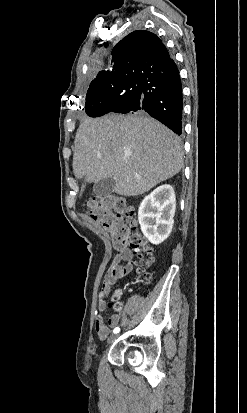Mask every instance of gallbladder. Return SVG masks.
I'll return each mask as SVG.
<instances>
[{
    "label": "gallbladder",
    "instance_id": "obj_1",
    "mask_svg": "<svg viewBox=\"0 0 247 413\" xmlns=\"http://www.w3.org/2000/svg\"><path fill=\"white\" fill-rule=\"evenodd\" d=\"M115 180L112 176H107V178H102L99 182H96L93 186V190L97 196H109L111 192H114Z\"/></svg>",
    "mask_w": 247,
    "mask_h": 413
}]
</instances>
